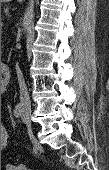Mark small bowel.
Listing matches in <instances>:
<instances>
[{
  "instance_id": "obj_1",
  "label": "small bowel",
  "mask_w": 109,
  "mask_h": 170,
  "mask_svg": "<svg viewBox=\"0 0 109 170\" xmlns=\"http://www.w3.org/2000/svg\"><path fill=\"white\" fill-rule=\"evenodd\" d=\"M9 135L4 127L1 128V147H5L8 144Z\"/></svg>"
}]
</instances>
